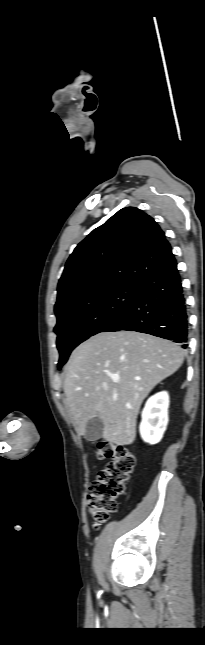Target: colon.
<instances>
[{"mask_svg":"<svg viewBox=\"0 0 205 645\" xmlns=\"http://www.w3.org/2000/svg\"><path fill=\"white\" fill-rule=\"evenodd\" d=\"M97 457L111 461L93 481L88 497L95 526L106 522L117 511V498L124 494L135 467V457L124 446L107 441L98 444Z\"/></svg>","mask_w":205,"mask_h":645,"instance_id":"colon-1","label":"colon"}]
</instances>
